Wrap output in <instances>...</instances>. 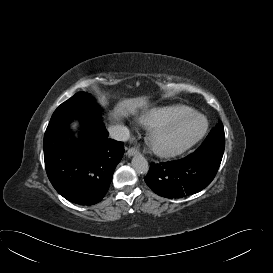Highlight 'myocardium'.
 Segmentation results:
<instances>
[{"mask_svg": "<svg viewBox=\"0 0 273 273\" xmlns=\"http://www.w3.org/2000/svg\"><path fill=\"white\" fill-rule=\"evenodd\" d=\"M198 122V126L196 128L195 133L192 135L191 138L184 142L180 143H171L162 145L160 143V138L170 134L171 132L179 129L180 127L190 123V122ZM208 130V121L206 117L197 112H191L189 115L184 117L183 119L177 121L174 124L167 125V126H158L152 129L150 135L148 137V142L150 148L155 152L157 155L162 157H170L181 154L195 144H197L206 134Z\"/></svg>", "mask_w": 273, "mask_h": 273, "instance_id": "f54148a6", "label": "myocardium"}]
</instances>
